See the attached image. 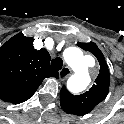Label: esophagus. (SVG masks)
<instances>
[{
	"label": "esophagus",
	"instance_id": "esophagus-1",
	"mask_svg": "<svg viewBox=\"0 0 124 124\" xmlns=\"http://www.w3.org/2000/svg\"><path fill=\"white\" fill-rule=\"evenodd\" d=\"M72 73L71 69L69 67H63L60 71H59V77L60 80H65L70 74Z\"/></svg>",
	"mask_w": 124,
	"mask_h": 124
}]
</instances>
